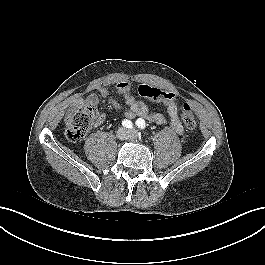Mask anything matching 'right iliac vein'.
I'll return each mask as SVG.
<instances>
[{"label": "right iliac vein", "mask_w": 265, "mask_h": 265, "mask_svg": "<svg viewBox=\"0 0 265 265\" xmlns=\"http://www.w3.org/2000/svg\"><path fill=\"white\" fill-rule=\"evenodd\" d=\"M126 134H127V132L123 128L122 129H119L118 132H117L118 138H121V139L124 138L126 136Z\"/></svg>", "instance_id": "obj_1"}]
</instances>
